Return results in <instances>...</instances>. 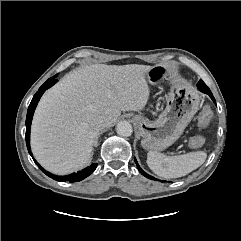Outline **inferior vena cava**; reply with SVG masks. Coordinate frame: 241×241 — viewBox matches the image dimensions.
Segmentation results:
<instances>
[{
    "instance_id": "obj_1",
    "label": "inferior vena cava",
    "mask_w": 241,
    "mask_h": 241,
    "mask_svg": "<svg viewBox=\"0 0 241 241\" xmlns=\"http://www.w3.org/2000/svg\"><path fill=\"white\" fill-rule=\"evenodd\" d=\"M106 124H107V120L105 117H100L94 121V127L97 130H101V129L105 128Z\"/></svg>"
}]
</instances>
